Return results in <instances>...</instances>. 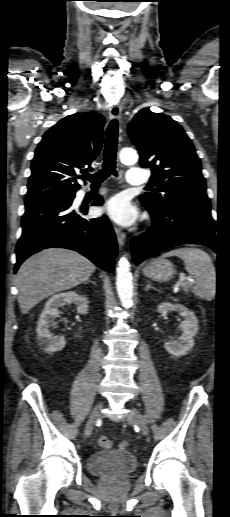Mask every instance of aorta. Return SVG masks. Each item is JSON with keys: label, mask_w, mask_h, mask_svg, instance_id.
<instances>
[{"label": "aorta", "mask_w": 230, "mask_h": 517, "mask_svg": "<svg viewBox=\"0 0 230 517\" xmlns=\"http://www.w3.org/2000/svg\"><path fill=\"white\" fill-rule=\"evenodd\" d=\"M119 158L122 163L134 164L137 161L138 156L135 150L124 148L120 151ZM116 288L121 303L124 307L129 308L132 305L133 282L130 264L125 257H122L118 262L116 271Z\"/></svg>", "instance_id": "aorta-1"}]
</instances>
